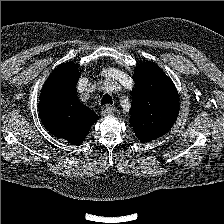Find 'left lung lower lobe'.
I'll return each mask as SVG.
<instances>
[{"label": "left lung lower lobe", "mask_w": 224, "mask_h": 224, "mask_svg": "<svg viewBox=\"0 0 224 224\" xmlns=\"http://www.w3.org/2000/svg\"><path fill=\"white\" fill-rule=\"evenodd\" d=\"M137 138H142L141 136H138ZM139 140H142V139H139ZM143 142V141H142Z\"/></svg>", "instance_id": "0a47b994"}]
</instances>
